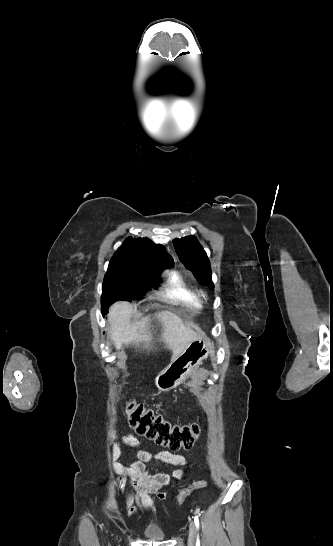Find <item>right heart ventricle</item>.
Returning <instances> with one entry per match:
<instances>
[{
  "instance_id": "1",
  "label": "right heart ventricle",
  "mask_w": 333,
  "mask_h": 546,
  "mask_svg": "<svg viewBox=\"0 0 333 546\" xmlns=\"http://www.w3.org/2000/svg\"><path fill=\"white\" fill-rule=\"evenodd\" d=\"M163 296L191 308H198L202 304V294L191 288L177 271L167 274Z\"/></svg>"
}]
</instances>
